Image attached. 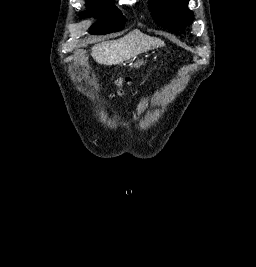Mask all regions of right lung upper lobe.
I'll use <instances>...</instances> for the list:
<instances>
[{
	"label": "right lung upper lobe",
	"mask_w": 256,
	"mask_h": 267,
	"mask_svg": "<svg viewBox=\"0 0 256 267\" xmlns=\"http://www.w3.org/2000/svg\"><path fill=\"white\" fill-rule=\"evenodd\" d=\"M92 1L112 2L111 0H88V2H92Z\"/></svg>",
	"instance_id": "right-lung-upper-lobe-1"
}]
</instances>
